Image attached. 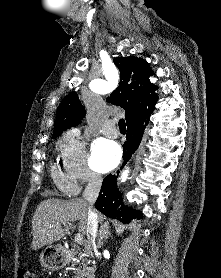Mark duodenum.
<instances>
[{
	"mask_svg": "<svg viewBox=\"0 0 221 278\" xmlns=\"http://www.w3.org/2000/svg\"><path fill=\"white\" fill-rule=\"evenodd\" d=\"M63 251L67 254V258H71L77 254L76 251L70 249H63Z\"/></svg>",
	"mask_w": 221,
	"mask_h": 278,
	"instance_id": "1",
	"label": "duodenum"
}]
</instances>
